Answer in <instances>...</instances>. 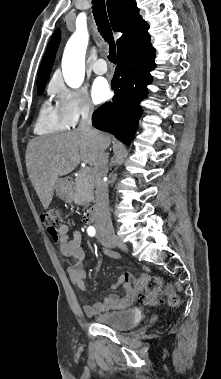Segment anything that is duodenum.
I'll list each match as a JSON object with an SVG mask.
<instances>
[{
	"label": "duodenum",
	"instance_id": "1",
	"mask_svg": "<svg viewBox=\"0 0 221 379\" xmlns=\"http://www.w3.org/2000/svg\"><path fill=\"white\" fill-rule=\"evenodd\" d=\"M99 217V205L93 204L85 213L84 221L86 223H94Z\"/></svg>",
	"mask_w": 221,
	"mask_h": 379
}]
</instances>
